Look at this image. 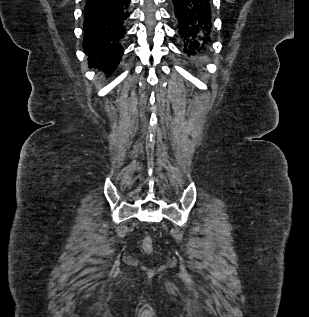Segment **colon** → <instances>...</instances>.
Returning a JSON list of instances; mask_svg holds the SVG:
<instances>
[{
	"label": "colon",
	"instance_id": "obj_1",
	"mask_svg": "<svg viewBox=\"0 0 309 317\" xmlns=\"http://www.w3.org/2000/svg\"><path fill=\"white\" fill-rule=\"evenodd\" d=\"M142 248L146 253H152L154 249V244L151 237L146 236L142 241Z\"/></svg>",
	"mask_w": 309,
	"mask_h": 317
}]
</instances>
